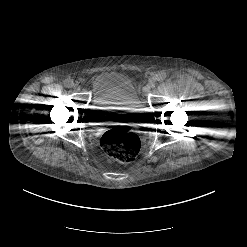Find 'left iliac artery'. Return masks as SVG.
<instances>
[{
  "label": "left iliac artery",
  "instance_id": "obj_1",
  "mask_svg": "<svg viewBox=\"0 0 247 247\" xmlns=\"http://www.w3.org/2000/svg\"><path fill=\"white\" fill-rule=\"evenodd\" d=\"M165 78H166V74L164 72H159L155 76V79L157 81H163Z\"/></svg>",
  "mask_w": 247,
  "mask_h": 247
}]
</instances>
